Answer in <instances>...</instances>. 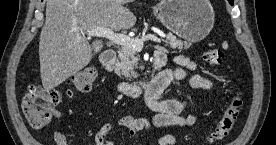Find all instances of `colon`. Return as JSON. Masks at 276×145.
Instances as JSON below:
<instances>
[{
	"instance_id": "5ec220e1",
	"label": "colon",
	"mask_w": 276,
	"mask_h": 145,
	"mask_svg": "<svg viewBox=\"0 0 276 145\" xmlns=\"http://www.w3.org/2000/svg\"><path fill=\"white\" fill-rule=\"evenodd\" d=\"M204 60L208 65L217 67L223 61V51L220 48L208 49L204 53ZM96 77L95 69L84 68L72 74L68 82L73 90L86 91L93 85ZM62 97L63 92L56 88H46L39 84L29 85L21 102L27 123L36 129L46 126L52 118L54 107ZM242 106L241 95L235 94L211 133L210 144H216L229 135L240 116Z\"/></svg>"
}]
</instances>
